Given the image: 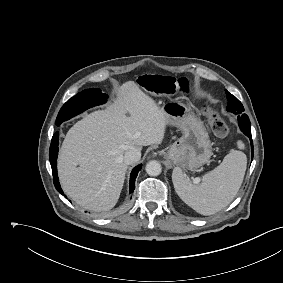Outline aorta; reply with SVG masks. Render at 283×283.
I'll return each mask as SVG.
<instances>
[{
	"label": "aorta",
	"instance_id": "1",
	"mask_svg": "<svg viewBox=\"0 0 283 283\" xmlns=\"http://www.w3.org/2000/svg\"><path fill=\"white\" fill-rule=\"evenodd\" d=\"M162 171L161 164L156 161L152 160L146 164V172L150 176H158Z\"/></svg>",
	"mask_w": 283,
	"mask_h": 283
}]
</instances>
